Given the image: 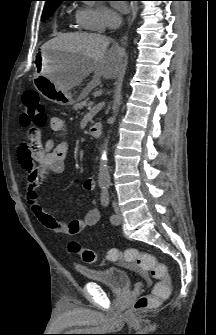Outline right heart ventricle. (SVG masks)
I'll return each mask as SVG.
<instances>
[{
    "mask_svg": "<svg viewBox=\"0 0 216 335\" xmlns=\"http://www.w3.org/2000/svg\"><path fill=\"white\" fill-rule=\"evenodd\" d=\"M76 22L81 26V24L78 21L77 15H76ZM82 27V26H81Z\"/></svg>",
    "mask_w": 216,
    "mask_h": 335,
    "instance_id": "e07e8e85",
    "label": "right heart ventricle"
}]
</instances>
